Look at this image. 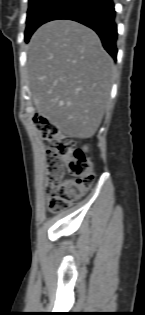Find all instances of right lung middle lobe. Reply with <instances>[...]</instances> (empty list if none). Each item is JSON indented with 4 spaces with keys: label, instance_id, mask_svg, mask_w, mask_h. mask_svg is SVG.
I'll return each instance as SVG.
<instances>
[{
    "label": "right lung middle lobe",
    "instance_id": "obj_1",
    "mask_svg": "<svg viewBox=\"0 0 145 315\" xmlns=\"http://www.w3.org/2000/svg\"><path fill=\"white\" fill-rule=\"evenodd\" d=\"M66 0H29L25 41L28 42L34 31L56 11Z\"/></svg>",
    "mask_w": 145,
    "mask_h": 315
}]
</instances>
